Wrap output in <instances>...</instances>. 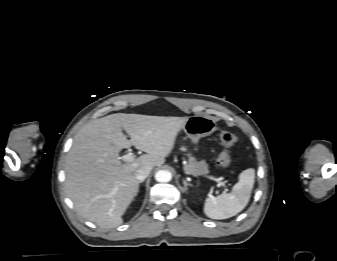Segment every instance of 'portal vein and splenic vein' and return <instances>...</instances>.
Wrapping results in <instances>:
<instances>
[{"mask_svg": "<svg viewBox=\"0 0 337 261\" xmlns=\"http://www.w3.org/2000/svg\"><path fill=\"white\" fill-rule=\"evenodd\" d=\"M122 159L125 161V162H131L134 160V156L131 154V153H128V154H125L122 156ZM211 179H213L214 181L218 182L220 185L224 186V182L221 181L220 178H214V177H211Z\"/></svg>", "mask_w": 337, "mask_h": 261, "instance_id": "1", "label": "portal vein and splenic vein"}]
</instances>
